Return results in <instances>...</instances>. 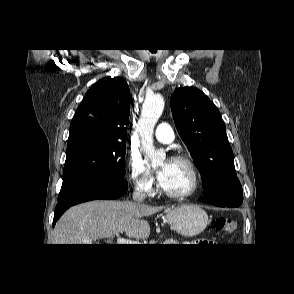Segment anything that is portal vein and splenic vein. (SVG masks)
<instances>
[{"mask_svg":"<svg viewBox=\"0 0 294 294\" xmlns=\"http://www.w3.org/2000/svg\"><path fill=\"white\" fill-rule=\"evenodd\" d=\"M116 244H139V242L117 236Z\"/></svg>","mask_w":294,"mask_h":294,"instance_id":"18ae733b","label":"portal vein and splenic vein"}]
</instances>
